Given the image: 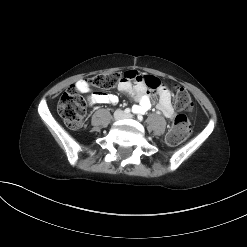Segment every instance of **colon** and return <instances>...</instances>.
<instances>
[{
	"label": "colon",
	"instance_id": "5ec220e1",
	"mask_svg": "<svg viewBox=\"0 0 247 247\" xmlns=\"http://www.w3.org/2000/svg\"><path fill=\"white\" fill-rule=\"evenodd\" d=\"M125 75L119 73H105L93 76L89 83L99 89H110L115 87ZM152 86L155 81L150 82ZM175 104L181 111H189L193 107L190 94L184 88H177L175 92ZM57 110L65 125L78 130L83 126L86 113V104L82 97L78 95L76 89L69 88L60 98ZM191 126L187 116L180 113L176 116L173 125L166 135V141L169 145H178L183 142L190 134Z\"/></svg>",
	"mask_w": 247,
	"mask_h": 247
}]
</instances>
